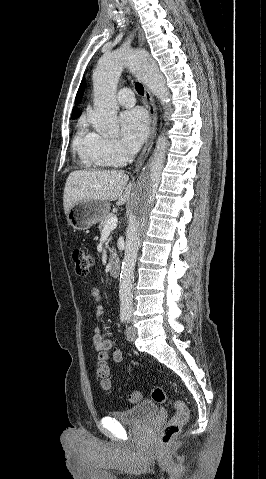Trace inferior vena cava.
Wrapping results in <instances>:
<instances>
[{"instance_id": "602c4592", "label": "inferior vena cava", "mask_w": 266, "mask_h": 479, "mask_svg": "<svg viewBox=\"0 0 266 479\" xmlns=\"http://www.w3.org/2000/svg\"><path fill=\"white\" fill-rule=\"evenodd\" d=\"M128 160H129V162H132L133 161V155H129Z\"/></svg>"}]
</instances>
